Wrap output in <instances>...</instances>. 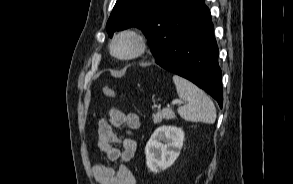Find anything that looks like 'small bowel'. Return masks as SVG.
I'll use <instances>...</instances> for the list:
<instances>
[{
    "mask_svg": "<svg viewBox=\"0 0 293 184\" xmlns=\"http://www.w3.org/2000/svg\"><path fill=\"white\" fill-rule=\"evenodd\" d=\"M140 117L137 113H124L112 108L107 118H102L97 127V145L104 154L106 163L93 166L92 174L99 184H135L136 180L127 166L137 151V141L133 131L140 127ZM125 128L126 136L120 137L114 128ZM118 145L121 147L119 148ZM121 161L114 167L110 163Z\"/></svg>",
    "mask_w": 293,
    "mask_h": 184,
    "instance_id": "1",
    "label": "small bowel"
}]
</instances>
